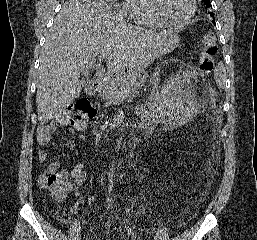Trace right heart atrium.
<instances>
[{
  "mask_svg": "<svg viewBox=\"0 0 257 240\" xmlns=\"http://www.w3.org/2000/svg\"><path fill=\"white\" fill-rule=\"evenodd\" d=\"M120 13L124 16L127 17L126 14L124 13V11L122 9H120Z\"/></svg>",
  "mask_w": 257,
  "mask_h": 240,
  "instance_id": "obj_1",
  "label": "right heart atrium"
}]
</instances>
